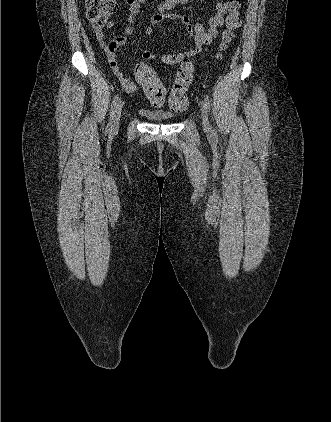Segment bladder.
Masks as SVG:
<instances>
[{"label":"bladder","instance_id":"bladder-1","mask_svg":"<svg viewBox=\"0 0 331 422\" xmlns=\"http://www.w3.org/2000/svg\"><path fill=\"white\" fill-rule=\"evenodd\" d=\"M141 114L154 121H169L175 119V115L163 111H150L142 109Z\"/></svg>","mask_w":331,"mask_h":422}]
</instances>
